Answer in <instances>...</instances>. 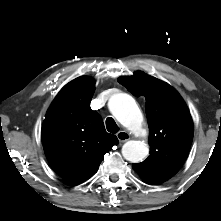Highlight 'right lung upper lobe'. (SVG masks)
<instances>
[{
	"label": "right lung upper lobe",
	"instance_id": "1",
	"mask_svg": "<svg viewBox=\"0 0 221 221\" xmlns=\"http://www.w3.org/2000/svg\"><path fill=\"white\" fill-rule=\"evenodd\" d=\"M95 82L81 76L58 93L42 127L44 151L51 167L72 183L86 180L99 168L104 155L118 143L90 108Z\"/></svg>",
	"mask_w": 221,
	"mask_h": 221
}]
</instances>
